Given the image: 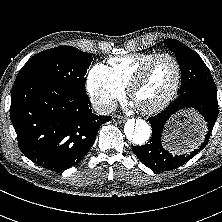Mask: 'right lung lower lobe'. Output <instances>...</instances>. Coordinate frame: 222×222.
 <instances>
[{
    "label": "right lung lower lobe",
    "instance_id": "obj_1",
    "mask_svg": "<svg viewBox=\"0 0 222 222\" xmlns=\"http://www.w3.org/2000/svg\"><path fill=\"white\" fill-rule=\"evenodd\" d=\"M85 92L44 80L15 82L10 119L22 153L48 170L78 164L93 145L101 124Z\"/></svg>",
    "mask_w": 222,
    "mask_h": 222
}]
</instances>
